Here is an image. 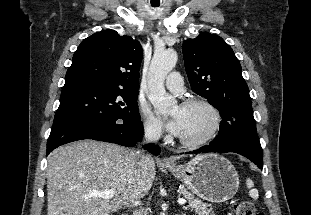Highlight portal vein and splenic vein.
Here are the masks:
<instances>
[{"mask_svg":"<svg viewBox=\"0 0 311 215\" xmlns=\"http://www.w3.org/2000/svg\"><path fill=\"white\" fill-rule=\"evenodd\" d=\"M115 194H116V192L113 190L95 191V192L91 193V195L94 197H101V198L106 199V200L111 199ZM177 202L181 205H184V204H186L187 201L183 198H179ZM133 204L136 206L141 205V203L138 201L137 202L133 201Z\"/></svg>","mask_w":311,"mask_h":215,"instance_id":"portal-vein-and-splenic-vein-1","label":"portal vein and splenic vein"}]
</instances>
